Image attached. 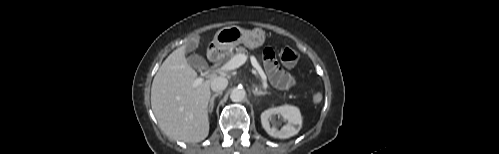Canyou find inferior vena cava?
I'll use <instances>...</instances> for the list:
<instances>
[{
  "mask_svg": "<svg viewBox=\"0 0 499 154\" xmlns=\"http://www.w3.org/2000/svg\"><path fill=\"white\" fill-rule=\"evenodd\" d=\"M228 85V80L225 77L219 76L211 80V89L215 92H222Z\"/></svg>",
  "mask_w": 499,
  "mask_h": 154,
  "instance_id": "inferior-vena-cava-1",
  "label": "inferior vena cava"
}]
</instances>
